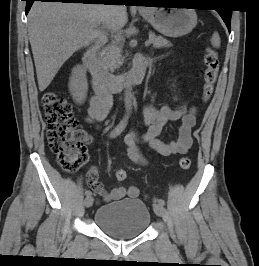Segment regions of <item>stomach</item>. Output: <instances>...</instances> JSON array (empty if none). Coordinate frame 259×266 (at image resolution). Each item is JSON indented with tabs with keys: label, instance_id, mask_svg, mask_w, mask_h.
<instances>
[{
	"label": "stomach",
	"instance_id": "1",
	"mask_svg": "<svg viewBox=\"0 0 259 266\" xmlns=\"http://www.w3.org/2000/svg\"><path fill=\"white\" fill-rule=\"evenodd\" d=\"M181 5V3H168ZM154 7L141 11V15L159 33L168 37H179L190 33L197 24L195 10L188 8Z\"/></svg>",
	"mask_w": 259,
	"mask_h": 266
}]
</instances>
